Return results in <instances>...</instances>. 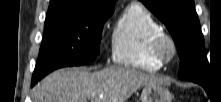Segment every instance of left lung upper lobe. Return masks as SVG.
<instances>
[{"label":"left lung upper lobe","mask_w":221,"mask_h":102,"mask_svg":"<svg viewBox=\"0 0 221 102\" xmlns=\"http://www.w3.org/2000/svg\"><path fill=\"white\" fill-rule=\"evenodd\" d=\"M167 27L180 57L179 78L203 84L209 81L204 38L193 0H140Z\"/></svg>","instance_id":"obj_1"}]
</instances>
